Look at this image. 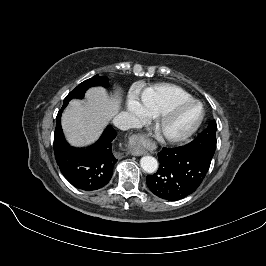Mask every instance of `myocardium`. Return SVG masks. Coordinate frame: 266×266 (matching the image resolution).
<instances>
[{
	"label": "myocardium",
	"instance_id": "obj_1",
	"mask_svg": "<svg viewBox=\"0 0 266 266\" xmlns=\"http://www.w3.org/2000/svg\"><path fill=\"white\" fill-rule=\"evenodd\" d=\"M193 106L199 109V114L195 119V121L192 123V125L187 130L178 134H172L167 132L166 127L168 123L183 110ZM204 115H205L204 107L199 101L191 99L188 101L180 102L157 117L155 123V130L157 137L161 141L170 144H177L184 142L187 139H189L191 136H193L196 133V131L199 129L204 119Z\"/></svg>",
	"mask_w": 266,
	"mask_h": 266
}]
</instances>
